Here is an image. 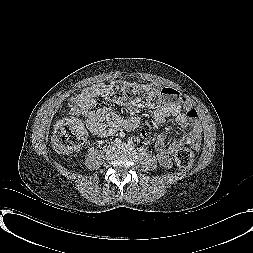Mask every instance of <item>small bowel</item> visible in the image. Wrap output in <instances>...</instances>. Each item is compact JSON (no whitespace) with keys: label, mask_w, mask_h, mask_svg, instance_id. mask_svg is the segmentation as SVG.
Masks as SVG:
<instances>
[{"label":"small bowel","mask_w":253,"mask_h":253,"mask_svg":"<svg viewBox=\"0 0 253 253\" xmlns=\"http://www.w3.org/2000/svg\"><path fill=\"white\" fill-rule=\"evenodd\" d=\"M150 94L148 112L158 127L167 119L173 118L182 129H188L182 138L165 145L166 134L161 132L154 145V152L158 163L164 168L172 165L171 157L183 147L197 151L200 148L202 127L198 120L196 109L188 100L175 89L162 87L158 84H147ZM100 92L99 85H92L70 98V114L72 118L83 116L90 132L99 138H105L124 128L133 130L137 127V115L141 107L127 104L125 109L128 117H121L113 108L104 106L96 108V100ZM141 137L149 141L150 134L147 129H142Z\"/></svg>","instance_id":"c3829d8e"}]
</instances>
